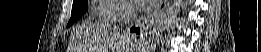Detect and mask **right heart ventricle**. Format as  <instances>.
<instances>
[{"label": "right heart ventricle", "mask_w": 261, "mask_h": 52, "mask_svg": "<svg viewBox=\"0 0 261 52\" xmlns=\"http://www.w3.org/2000/svg\"><path fill=\"white\" fill-rule=\"evenodd\" d=\"M120 8L119 5L114 4L108 1H100L98 6L95 8L94 19L96 21L106 22V23H114V19L112 14Z\"/></svg>", "instance_id": "e07e8e85"}]
</instances>
